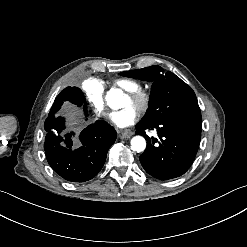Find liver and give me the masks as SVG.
Masks as SVG:
<instances>
[{"mask_svg":"<svg viewBox=\"0 0 247 247\" xmlns=\"http://www.w3.org/2000/svg\"><path fill=\"white\" fill-rule=\"evenodd\" d=\"M59 114L64 117L66 121V125L68 127H73L69 130V132H73V149L81 147V143L79 140V134L82 128L74 127L76 124L85 123L84 119L85 115L83 110L78 107L76 104H73L69 101H65L62 107L59 110Z\"/></svg>","mask_w":247,"mask_h":247,"instance_id":"6515ba94","label":"liver"}]
</instances>
